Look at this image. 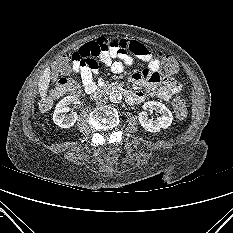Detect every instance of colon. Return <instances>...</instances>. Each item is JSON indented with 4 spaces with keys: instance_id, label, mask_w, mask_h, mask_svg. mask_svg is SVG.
<instances>
[{
    "instance_id": "colon-1",
    "label": "colon",
    "mask_w": 233,
    "mask_h": 233,
    "mask_svg": "<svg viewBox=\"0 0 233 233\" xmlns=\"http://www.w3.org/2000/svg\"><path fill=\"white\" fill-rule=\"evenodd\" d=\"M115 37L107 38L106 47L111 48L115 46ZM160 61V71L165 76H170L178 72V63L171 55L160 52L158 54ZM68 60L66 57L58 59L56 62V69L59 73H64L67 70ZM79 91V84L73 80L61 77L57 81L56 87L52 90L48 97V101H52L64 94H76ZM172 106L176 116L179 119H185L188 115L187 105L184 99L179 96L173 98Z\"/></svg>"
}]
</instances>
